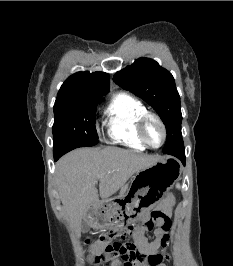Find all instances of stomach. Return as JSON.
Masks as SVG:
<instances>
[{
    "instance_id": "stomach-1",
    "label": "stomach",
    "mask_w": 233,
    "mask_h": 266,
    "mask_svg": "<svg viewBox=\"0 0 233 266\" xmlns=\"http://www.w3.org/2000/svg\"><path fill=\"white\" fill-rule=\"evenodd\" d=\"M168 166H179V161L160 160L138 171L131 181V188H127L125 194L108 199V204H100V209L94 211L96 227L114 228V232H122V228L128 231L127 225L137 228L140 221L136 220L132 209L137 213L149 210L153 203L168 192L171 185L178 184L182 167Z\"/></svg>"
}]
</instances>
